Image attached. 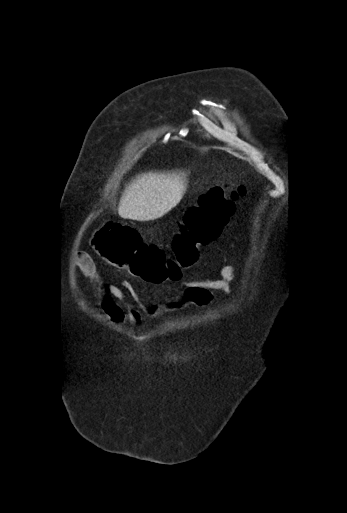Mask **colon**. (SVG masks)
Wrapping results in <instances>:
<instances>
[{"label": "colon", "mask_w": 347, "mask_h": 513, "mask_svg": "<svg viewBox=\"0 0 347 513\" xmlns=\"http://www.w3.org/2000/svg\"><path fill=\"white\" fill-rule=\"evenodd\" d=\"M240 184L216 186L201 194L191 206L173 238V255L156 244L142 241L132 227L108 222L96 234L93 245L109 264L125 269L151 284L179 279L193 266L203 248L216 240L235 212V201L245 194Z\"/></svg>", "instance_id": "1"}]
</instances>
